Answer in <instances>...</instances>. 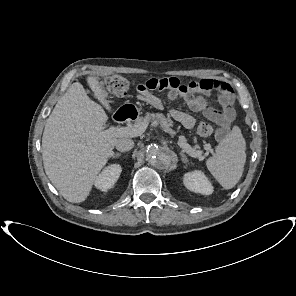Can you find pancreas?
<instances>
[{
  "label": "pancreas",
  "instance_id": "obj_1",
  "mask_svg": "<svg viewBox=\"0 0 296 296\" xmlns=\"http://www.w3.org/2000/svg\"><path fill=\"white\" fill-rule=\"evenodd\" d=\"M142 122H146V123H154L156 125H160L161 129L169 134H174V131L171 129V127L173 126V122L170 118H166L163 114L161 113H156V114H147L144 117H140L137 121L136 124H140ZM195 151L196 148H193ZM200 152V151H199ZM200 156H201V152H200ZM198 156V157H200Z\"/></svg>",
  "mask_w": 296,
  "mask_h": 296
}]
</instances>
